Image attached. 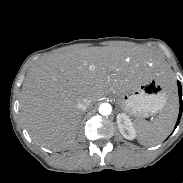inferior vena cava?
<instances>
[{
  "label": "inferior vena cava",
  "instance_id": "602c4592",
  "mask_svg": "<svg viewBox=\"0 0 183 183\" xmlns=\"http://www.w3.org/2000/svg\"><path fill=\"white\" fill-rule=\"evenodd\" d=\"M78 108L84 112L86 111V109L89 107V104L84 100V99H81L78 101V104H77Z\"/></svg>",
  "mask_w": 183,
  "mask_h": 183
}]
</instances>
